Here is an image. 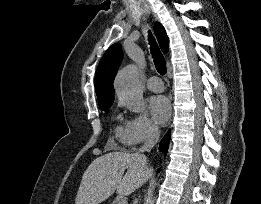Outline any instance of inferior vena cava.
Returning a JSON list of instances; mask_svg holds the SVG:
<instances>
[{
  "mask_svg": "<svg viewBox=\"0 0 261 204\" xmlns=\"http://www.w3.org/2000/svg\"><path fill=\"white\" fill-rule=\"evenodd\" d=\"M159 136L160 134L158 128L156 126L150 127L145 142L139 150L140 153H137L138 159L143 166L147 165V157L143 153L151 151L154 145L158 142ZM133 204H135V202Z\"/></svg>",
  "mask_w": 261,
  "mask_h": 204,
  "instance_id": "obj_1",
  "label": "inferior vena cava"
}]
</instances>
